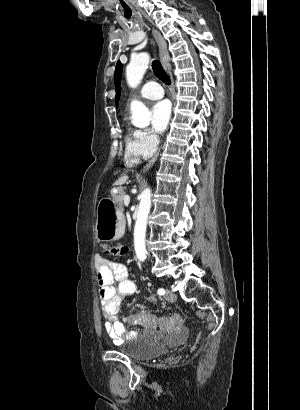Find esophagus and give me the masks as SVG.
Returning a JSON list of instances; mask_svg holds the SVG:
<instances>
[{
    "label": "esophagus",
    "mask_w": 300,
    "mask_h": 410,
    "mask_svg": "<svg viewBox=\"0 0 300 410\" xmlns=\"http://www.w3.org/2000/svg\"><path fill=\"white\" fill-rule=\"evenodd\" d=\"M152 34H153V36H154V38H155V40L158 44V47H159V55H160L161 62L163 64V66L167 69L168 65H169V62H170V57H169V53H168V50H167V43L163 39L161 33L158 30L153 29ZM156 159H157V155L154 156L149 161V163L143 168V171L148 169L151 165H153V163L156 161Z\"/></svg>",
    "instance_id": "34e87169"
}]
</instances>
